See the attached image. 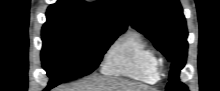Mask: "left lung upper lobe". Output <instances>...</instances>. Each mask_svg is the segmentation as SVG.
<instances>
[{
	"mask_svg": "<svg viewBox=\"0 0 220 91\" xmlns=\"http://www.w3.org/2000/svg\"><path fill=\"white\" fill-rule=\"evenodd\" d=\"M134 28L172 63L167 91H188L179 81L187 57V27L179 0H118Z\"/></svg>",
	"mask_w": 220,
	"mask_h": 91,
	"instance_id": "5c2ea615",
	"label": "left lung upper lobe"
}]
</instances>
